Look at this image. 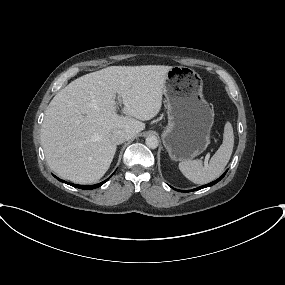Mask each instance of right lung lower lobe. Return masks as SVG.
Instances as JSON below:
<instances>
[{"label":"right lung lower lobe","instance_id":"obj_1","mask_svg":"<svg viewBox=\"0 0 285 285\" xmlns=\"http://www.w3.org/2000/svg\"><path fill=\"white\" fill-rule=\"evenodd\" d=\"M54 177H56V176H54ZM57 178V177H56ZM59 181H62V182H64V183H67V184H69V185H71V186H74V187H77V188H79V189H84V190H90V189H95V188H97V187H100L102 184H104L107 180H105V181H103V182H101V183H99V184H96V185H89V186H87V185H76V184H72V183H68V182H65V181H63V180H61V179H59V178H57Z\"/></svg>","mask_w":285,"mask_h":285}]
</instances>
